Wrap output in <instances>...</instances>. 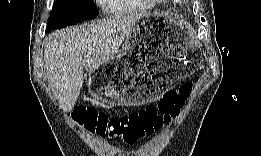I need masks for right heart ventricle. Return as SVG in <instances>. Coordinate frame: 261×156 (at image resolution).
<instances>
[{
	"label": "right heart ventricle",
	"mask_w": 261,
	"mask_h": 156,
	"mask_svg": "<svg viewBox=\"0 0 261 156\" xmlns=\"http://www.w3.org/2000/svg\"><path fill=\"white\" fill-rule=\"evenodd\" d=\"M133 0H105L103 4L114 11H124Z\"/></svg>",
	"instance_id": "1"
}]
</instances>
